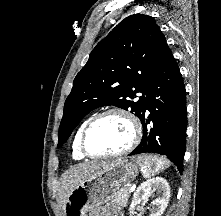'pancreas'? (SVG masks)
I'll return each instance as SVG.
<instances>
[{
    "label": "pancreas",
    "instance_id": "obj_1",
    "mask_svg": "<svg viewBox=\"0 0 221 216\" xmlns=\"http://www.w3.org/2000/svg\"><path fill=\"white\" fill-rule=\"evenodd\" d=\"M130 188V185H125L119 191H117L113 198V202L117 205L125 207L129 199Z\"/></svg>",
    "mask_w": 221,
    "mask_h": 216
}]
</instances>
